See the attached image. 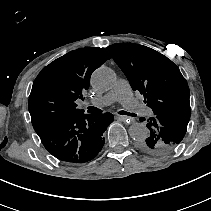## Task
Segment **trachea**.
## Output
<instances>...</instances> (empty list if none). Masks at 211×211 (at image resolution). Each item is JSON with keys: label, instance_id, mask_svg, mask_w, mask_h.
Instances as JSON below:
<instances>
[{"label": "trachea", "instance_id": "3493384b", "mask_svg": "<svg viewBox=\"0 0 211 211\" xmlns=\"http://www.w3.org/2000/svg\"><path fill=\"white\" fill-rule=\"evenodd\" d=\"M89 110L91 111V113H99L101 112V110H99L98 108L96 107H89ZM119 114L121 115H128V116H137V114L135 113H129V112H126V111H119Z\"/></svg>", "mask_w": 211, "mask_h": 211}]
</instances>
